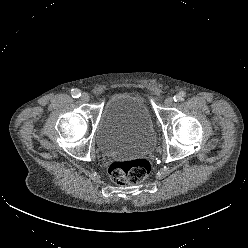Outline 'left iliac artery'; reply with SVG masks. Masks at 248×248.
Instances as JSON below:
<instances>
[{
  "label": "left iliac artery",
  "instance_id": "obj_1",
  "mask_svg": "<svg viewBox=\"0 0 248 248\" xmlns=\"http://www.w3.org/2000/svg\"><path fill=\"white\" fill-rule=\"evenodd\" d=\"M185 96H186V92L181 91L178 94H176L173 98L175 102H179V101H182Z\"/></svg>",
  "mask_w": 248,
  "mask_h": 248
}]
</instances>
